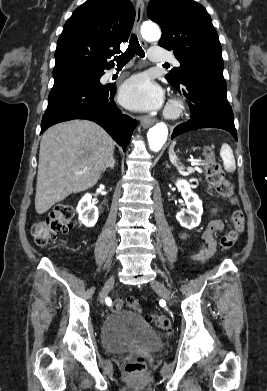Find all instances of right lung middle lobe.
<instances>
[{"label": "right lung middle lobe", "mask_w": 267, "mask_h": 391, "mask_svg": "<svg viewBox=\"0 0 267 391\" xmlns=\"http://www.w3.org/2000/svg\"><path fill=\"white\" fill-rule=\"evenodd\" d=\"M80 82H99L97 72L91 73H75L54 77L53 88H58L65 85L76 84Z\"/></svg>", "instance_id": "obj_1"}]
</instances>
